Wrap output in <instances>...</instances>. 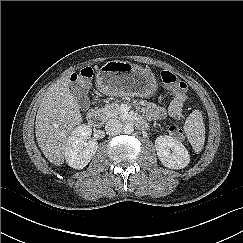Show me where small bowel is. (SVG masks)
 Segmentation results:
<instances>
[{"label":"small bowel","instance_id":"obj_1","mask_svg":"<svg viewBox=\"0 0 243 243\" xmlns=\"http://www.w3.org/2000/svg\"><path fill=\"white\" fill-rule=\"evenodd\" d=\"M186 93L182 96L175 95L170 102L168 110L161 106L149 105L146 109V114L151 119H163L168 114L171 118L180 120L183 117L182 109L186 101Z\"/></svg>","mask_w":243,"mask_h":243}]
</instances>
